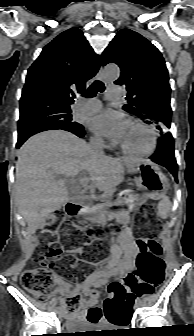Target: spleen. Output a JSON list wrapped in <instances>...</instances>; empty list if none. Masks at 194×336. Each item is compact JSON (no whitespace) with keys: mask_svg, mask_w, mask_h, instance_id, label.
Listing matches in <instances>:
<instances>
[{"mask_svg":"<svg viewBox=\"0 0 194 336\" xmlns=\"http://www.w3.org/2000/svg\"><path fill=\"white\" fill-rule=\"evenodd\" d=\"M171 209V202L168 197H164L158 204V214L166 219Z\"/></svg>","mask_w":194,"mask_h":336,"instance_id":"obj_1","label":"spleen"}]
</instances>
